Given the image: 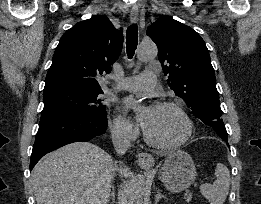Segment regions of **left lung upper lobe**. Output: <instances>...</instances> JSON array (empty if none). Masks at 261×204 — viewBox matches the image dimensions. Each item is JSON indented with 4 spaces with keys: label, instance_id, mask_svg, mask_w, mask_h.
I'll use <instances>...</instances> for the list:
<instances>
[{
    "label": "left lung upper lobe",
    "instance_id": "obj_1",
    "mask_svg": "<svg viewBox=\"0 0 261 204\" xmlns=\"http://www.w3.org/2000/svg\"><path fill=\"white\" fill-rule=\"evenodd\" d=\"M158 47V59L168 84L193 115L227 140L216 89L215 71L201 36L170 16H162L147 30Z\"/></svg>",
    "mask_w": 261,
    "mask_h": 204
}]
</instances>
